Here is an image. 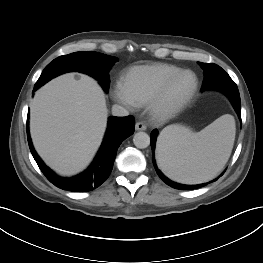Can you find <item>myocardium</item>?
I'll return each instance as SVG.
<instances>
[{
    "mask_svg": "<svg viewBox=\"0 0 263 263\" xmlns=\"http://www.w3.org/2000/svg\"><path fill=\"white\" fill-rule=\"evenodd\" d=\"M192 74L194 77V84L190 92L175 102L169 103L167 101L169 91L173 84L183 75ZM199 87V78L197 74L190 69H183L174 75L170 76L159 87L155 94L151 97L148 104V110L151 116L157 120H167L181 112L194 98Z\"/></svg>",
    "mask_w": 263,
    "mask_h": 263,
    "instance_id": "obj_1",
    "label": "myocardium"
}]
</instances>
